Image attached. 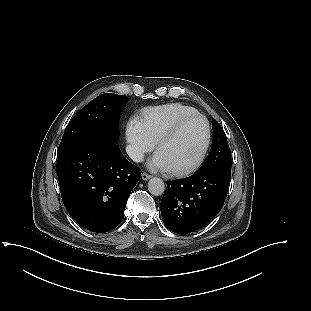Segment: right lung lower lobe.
<instances>
[{"instance_id":"obj_1","label":"right lung lower lobe","mask_w":311,"mask_h":311,"mask_svg":"<svg viewBox=\"0 0 311 311\" xmlns=\"http://www.w3.org/2000/svg\"><path fill=\"white\" fill-rule=\"evenodd\" d=\"M57 175L63 203L74 220L103 233L122 222L141 173L113 140H91L58 158Z\"/></svg>"}]
</instances>
